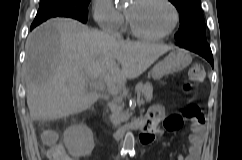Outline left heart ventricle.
<instances>
[{"instance_id": "obj_1", "label": "left heart ventricle", "mask_w": 242, "mask_h": 160, "mask_svg": "<svg viewBox=\"0 0 242 160\" xmlns=\"http://www.w3.org/2000/svg\"><path fill=\"white\" fill-rule=\"evenodd\" d=\"M126 13L140 32L149 35L166 32L174 21L172 9L163 0H133Z\"/></svg>"}]
</instances>
